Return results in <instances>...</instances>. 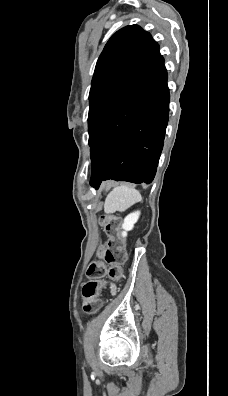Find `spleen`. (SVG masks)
Returning a JSON list of instances; mask_svg holds the SVG:
<instances>
[{
	"instance_id": "1",
	"label": "spleen",
	"mask_w": 228,
	"mask_h": 396,
	"mask_svg": "<svg viewBox=\"0 0 228 396\" xmlns=\"http://www.w3.org/2000/svg\"><path fill=\"white\" fill-rule=\"evenodd\" d=\"M141 199V194L136 189L125 185L117 186L107 195L104 211L108 214L116 211L124 212Z\"/></svg>"
}]
</instances>
